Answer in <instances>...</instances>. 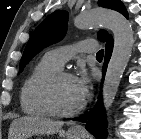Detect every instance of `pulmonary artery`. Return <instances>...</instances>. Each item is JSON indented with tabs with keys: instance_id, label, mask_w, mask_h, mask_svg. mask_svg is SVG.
I'll return each mask as SVG.
<instances>
[{
	"instance_id": "e3ab8cb5",
	"label": "pulmonary artery",
	"mask_w": 141,
	"mask_h": 139,
	"mask_svg": "<svg viewBox=\"0 0 141 139\" xmlns=\"http://www.w3.org/2000/svg\"><path fill=\"white\" fill-rule=\"evenodd\" d=\"M97 43L94 40H83L73 46H64L48 51L45 58L58 68L63 65L77 52L92 53L97 50Z\"/></svg>"
}]
</instances>
